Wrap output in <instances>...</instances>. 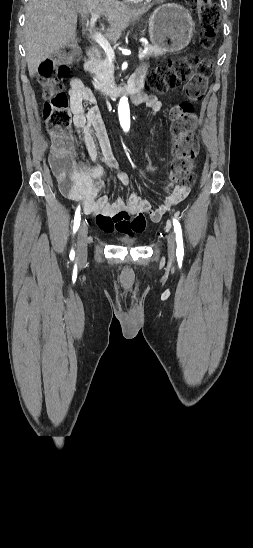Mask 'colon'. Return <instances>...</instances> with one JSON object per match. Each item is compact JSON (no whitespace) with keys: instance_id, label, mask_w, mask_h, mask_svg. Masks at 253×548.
<instances>
[{"instance_id":"obj_1","label":"colon","mask_w":253,"mask_h":548,"mask_svg":"<svg viewBox=\"0 0 253 548\" xmlns=\"http://www.w3.org/2000/svg\"><path fill=\"white\" fill-rule=\"evenodd\" d=\"M198 13L203 28L202 45L210 48L219 25V12L211 0H187ZM76 50L71 48L64 54L44 60L39 66V84L45 100L43 119L52 137L51 167L63 184H67L75 172L72 159V140L69 135L71 112L69 100L63 90V82L69 75V64L76 57ZM212 64L210 60L189 55L184 58H172L151 72L147 86L165 93L169 89L184 84L188 102L173 112L171 132L174 138V160L170 175L186 186L195 182L193 159L198 151V142L193 134L197 124L194 104L204 97ZM145 169L154 175L158 167L154 162L145 161Z\"/></svg>"}]
</instances>
